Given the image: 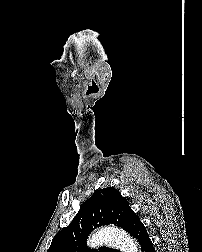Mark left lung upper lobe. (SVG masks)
Wrapping results in <instances>:
<instances>
[{
    "label": "left lung upper lobe",
    "instance_id": "5c2ea615",
    "mask_svg": "<svg viewBox=\"0 0 202 252\" xmlns=\"http://www.w3.org/2000/svg\"><path fill=\"white\" fill-rule=\"evenodd\" d=\"M139 221L119 191L113 187L104 188L83 203L70 225L55 235L47 252H119L108 247L88 249V235L96 227L117 225L132 236Z\"/></svg>",
    "mask_w": 202,
    "mask_h": 252
}]
</instances>
